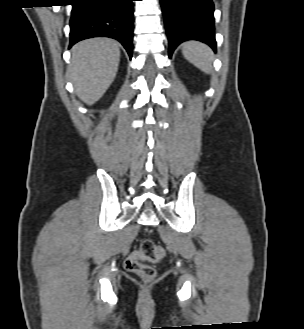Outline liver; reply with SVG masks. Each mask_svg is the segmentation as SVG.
<instances>
[{
	"instance_id": "liver-1",
	"label": "liver",
	"mask_w": 304,
	"mask_h": 329,
	"mask_svg": "<svg viewBox=\"0 0 304 329\" xmlns=\"http://www.w3.org/2000/svg\"><path fill=\"white\" fill-rule=\"evenodd\" d=\"M119 61L115 40L93 38L74 45L70 73L78 97L87 105L98 101L113 82Z\"/></svg>"
}]
</instances>
